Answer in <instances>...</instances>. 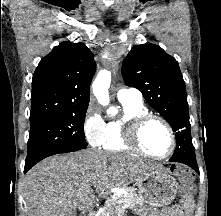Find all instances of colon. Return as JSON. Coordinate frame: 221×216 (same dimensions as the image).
<instances>
[{
    "label": "colon",
    "instance_id": "1",
    "mask_svg": "<svg viewBox=\"0 0 221 216\" xmlns=\"http://www.w3.org/2000/svg\"><path fill=\"white\" fill-rule=\"evenodd\" d=\"M173 171L177 175V177L179 178L182 184L183 199L186 202H190L191 201V187H190L191 177L189 175V172L183 167H175Z\"/></svg>",
    "mask_w": 221,
    "mask_h": 216
}]
</instances>
